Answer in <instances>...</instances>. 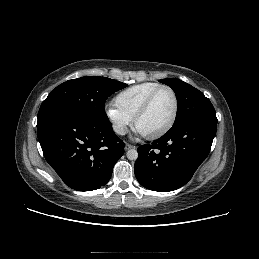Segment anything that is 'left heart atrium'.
<instances>
[{
    "instance_id": "39dd6f15",
    "label": "left heart atrium",
    "mask_w": 259,
    "mask_h": 259,
    "mask_svg": "<svg viewBox=\"0 0 259 259\" xmlns=\"http://www.w3.org/2000/svg\"><path fill=\"white\" fill-rule=\"evenodd\" d=\"M137 135L139 136H145L143 133H141L139 130L136 131Z\"/></svg>"
}]
</instances>
